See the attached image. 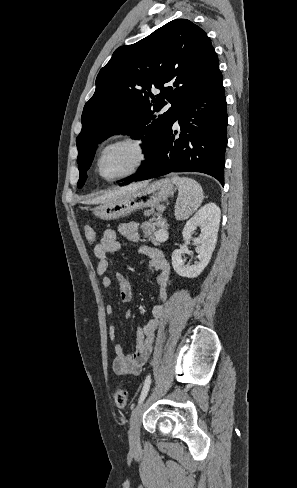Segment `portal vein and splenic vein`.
I'll return each instance as SVG.
<instances>
[{
	"label": "portal vein and splenic vein",
	"mask_w": 297,
	"mask_h": 488,
	"mask_svg": "<svg viewBox=\"0 0 297 488\" xmlns=\"http://www.w3.org/2000/svg\"><path fill=\"white\" fill-rule=\"evenodd\" d=\"M163 232H164V230L163 229H160V230L157 231V234H161Z\"/></svg>",
	"instance_id": "1"
}]
</instances>
